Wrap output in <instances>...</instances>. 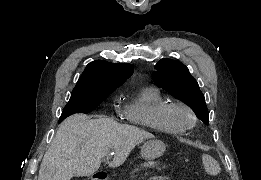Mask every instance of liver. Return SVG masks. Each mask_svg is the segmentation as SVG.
<instances>
[{
    "mask_svg": "<svg viewBox=\"0 0 261 180\" xmlns=\"http://www.w3.org/2000/svg\"><path fill=\"white\" fill-rule=\"evenodd\" d=\"M154 138L136 126L119 124L108 116L74 114L60 124L40 166L38 180H72L74 176H93L100 158L115 156L109 168L122 166L135 146Z\"/></svg>",
    "mask_w": 261,
    "mask_h": 180,
    "instance_id": "obj_1",
    "label": "liver"
}]
</instances>
